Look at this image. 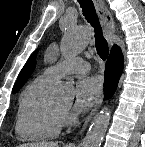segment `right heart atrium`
<instances>
[{
	"label": "right heart atrium",
	"mask_w": 145,
	"mask_h": 147,
	"mask_svg": "<svg viewBox=\"0 0 145 147\" xmlns=\"http://www.w3.org/2000/svg\"><path fill=\"white\" fill-rule=\"evenodd\" d=\"M71 120V114L68 111L61 112V127L67 126Z\"/></svg>",
	"instance_id": "obj_1"
}]
</instances>
